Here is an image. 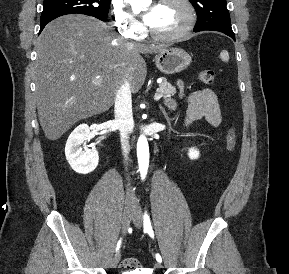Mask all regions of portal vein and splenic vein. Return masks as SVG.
Returning <instances> with one entry per match:
<instances>
[{"label":"portal vein and splenic vein","mask_w":289,"mask_h":274,"mask_svg":"<svg viewBox=\"0 0 289 274\" xmlns=\"http://www.w3.org/2000/svg\"><path fill=\"white\" fill-rule=\"evenodd\" d=\"M161 97H162V96H161L160 94H155L154 100L158 101V100L161 99Z\"/></svg>","instance_id":"1"}]
</instances>
